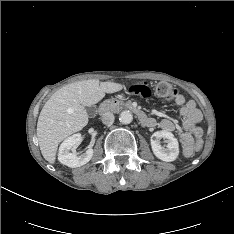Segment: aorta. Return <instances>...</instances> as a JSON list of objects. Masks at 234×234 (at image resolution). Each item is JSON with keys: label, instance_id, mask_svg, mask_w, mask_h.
Masks as SVG:
<instances>
[{"label": "aorta", "instance_id": "obj_1", "mask_svg": "<svg viewBox=\"0 0 234 234\" xmlns=\"http://www.w3.org/2000/svg\"><path fill=\"white\" fill-rule=\"evenodd\" d=\"M133 120V115L130 111H122L119 117V121L123 124H129Z\"/></svg>", "mask_w": 234, "mask_h": 234}]
</instances>
